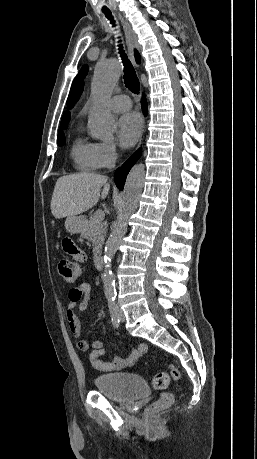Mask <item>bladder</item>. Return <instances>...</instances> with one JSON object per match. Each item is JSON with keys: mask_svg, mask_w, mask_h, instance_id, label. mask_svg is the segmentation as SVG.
I'll return each mask as SVG.
<instances>
[{"mask_svg": "<svg viewBox=\"0 0 257 459\" xmlns=\"http://www.w3.org/2000/svg\"><path fill=\"white\" fill-rule=\"evenodd\" d=\"M93 383L97 391L118 402H132L149 394L147 383L131 373L98 375Z\"/></svg>", "mask_w": 257, "mask_h": 459, "instance_id": "obj_1", "label": "bladder"}]
</instances>
